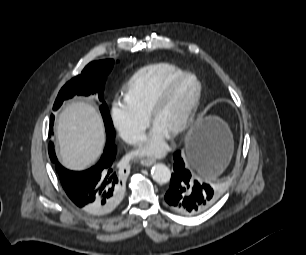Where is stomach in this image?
<instances>
[{
	"instance_id": "stomach-1",
	"label": "stomach",
	"mask_w": 306,
	"mask_h": 255,
	"mask_svg": "<svg viewBox=\"0 0 306 255\" xmlns=\"http://www.w3.org/2000/svg\"><path fill=\"white\" fill-rule=\"evenodd\" d=\"M213 140H220L225 143L228 146L229 151L228 154L224 156L210 172L195 167L196 171L200 175L208 179H212L218 175L228 163L231 151V134L227 125L216 116L200 117L186 139V148H189L194 143L207 144Z\"/></svg>"
}]
</instances>
